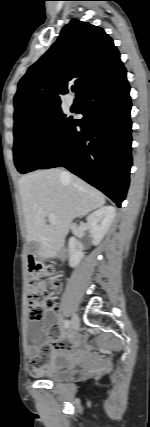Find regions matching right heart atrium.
Instances as JSON below:
<instances>
[{"mask_svg": "<svg viewBox=\"0 0 150 427\" xmlns=\"http://www.w3.org/2000/svg\"><path fill=\"white\" fill-rule=\"evenodd\" d=\"M56 136V129L52 122H46L44 123L40 130L38 135L39 143L44 146L48 147L52 144Z\"/></svg>", "mask_w": 150, "mask_h": 427, "instance_id": "right-heart-atrium-1", "label": "right heart atrium"}]
</instances>
